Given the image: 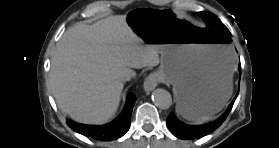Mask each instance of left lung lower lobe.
<instances>
[{"label":"left lung lower lobe","mask_w":279,"mask_h":148,"mask_svg":"<svg viewBox=\"0 0 279 148\" xmlns=\"http://www.w3.org/2000/svg\"><path fill=\"white\" fill-rule=\"evenodd\" d=\"M230 34V33H229ZM239 71H241V67L239 65ZM238 96H235L234 100L230 103L226 112L220 116L217 120L200 126H190L180 122L172 113L167 118V125L170 129L171 133L180 139H196L203 137L210 132L214 131L217 127H219L222 122L226 119L229 112L232 109V106Z\"/></svg>","instance_id":"0a47b994"}]
</instances>
